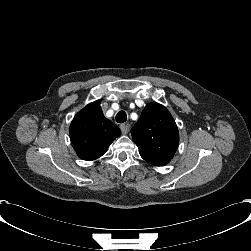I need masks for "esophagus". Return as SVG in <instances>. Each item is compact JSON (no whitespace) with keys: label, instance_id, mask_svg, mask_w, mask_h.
<instances>
[{"label":"esophagus","instance_id":"esophagus-1","mask_svg":"<svg viewBox=\"0 0 251 251\" xmlns=\"http://www.w3.org/2000/svg\"><path fill=\"white\" fill-rule=\"evenodd\" d=\"M120 130H121L122 134L126 135L129 130V125L127 123L121 124Z\"/></svg>","mask_w":251,"mask_h":251}]
</instances>
